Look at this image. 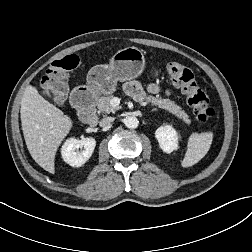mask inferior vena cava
Instances as JSON below:
<instances>
[{"label": "inferior vena cava", "instance_id": "1", "mask_svg": "<svg viewBox=\"0 0 252 252\" xmlns=\"http://www.w3.org/2000/svg\"><path fill=\"white\" fill-rule=\"evenodd\" d=\"M114 121L113 117H104L101 121H100V126L101 127H106L109 126L110 124H112Z\"/></svg>", "mask_w": 252, "mask_h": 252}]
</instances>
